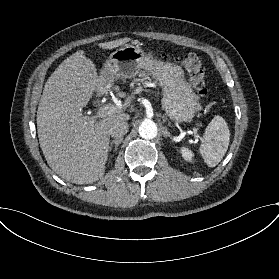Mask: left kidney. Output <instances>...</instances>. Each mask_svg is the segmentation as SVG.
Returning <instances> with one entry per match:
<instances>
[{
	"mask_svg": "<svg viewBox=\"0 0 279 279\" xmlns=\"http://www.w3.org/2000/svg\"><path fill=\"white\" fill-rule=\"evenodd\" d=\"M181 152H182V155H183V157H184L185 160H187V161L191 160L192 154L190 153L189 150L182 149Z\"/></svg>",
	"mask_w": 279,
	"mask_h": 279,
	"instance_id": "1",
	"label": "left kidney"
}]
</instances>
